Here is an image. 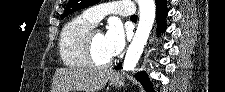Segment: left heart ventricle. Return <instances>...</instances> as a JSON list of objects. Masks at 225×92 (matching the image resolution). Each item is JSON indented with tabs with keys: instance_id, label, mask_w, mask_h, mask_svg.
Instances as JSON below:
<instances>
[{
	"instance_id": "b2bd125f",
	"label": "left heart ventricle",
	"mask_w": 225,
	"mask_h": 92,
	"mask_svg": "<svg viewBox=\"0 0 225 92\" xmlns=\"http://www.w3.org/2000/svg\"><path fill=\"white\" fill-rule=\"evenodd\" d=\"M93 52L99 62H106L111 59L107 53L102 32H96L93 36Z\"/></svg>"
}]
</instances>
